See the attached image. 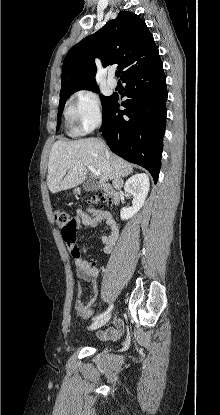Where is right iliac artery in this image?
<instances>
[{
  "label": "right iliac artery",
  "mask_w": 220,
  "mask_h": 415,
  "mask_svg": "<svg viewBox=\"0 0 220 415\" xmlns=\"http://www.w3.org/2000/svg\"><path fill=\"white\" fill-rule=\"evenodd\" d=\"M113 309V304H111L108 309L106 311H104L103 313H101L100 315L96 316L95 318H93V320H98L103 318L104 316H106L109 312H111V310Z\"/></svg>",
  "instance_id": "right-iliac-artery-1"
}]
</instances>
